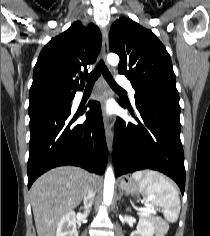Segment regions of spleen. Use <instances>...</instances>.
<instances>
[{
  "instance_id": "spleen-1",
  "label": "spleen",
  "mask_w": 210,
  "mask_h": 236,
  "mask_svg": "<svg viewBox=\"0 0 210 236\" xmlns=\"http://www.w3.org/2000/svg\"><path fill=\"white\" fill-rule=\"evenodd\" d=\"M132 177L139 182L140 191L154 205L163 209L168 222H176L180 213V197L176 188L162 174L148 170L137 171Z\"/></svg>"
}]
</instances>
